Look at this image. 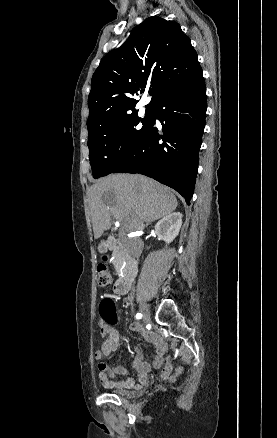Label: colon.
<instances>
[{"mask_svg": "<svg viewBox=\"0 0 277 438\" xmlns=\"http://www.w3.org/2000/svg\"><path fill=\"white\" fill-rule=\"evenodd\" d=\"M103 260L107 261V257L103 256ZM96 282L99 287H106L113 283V273L104 263L97 266Z\"/></svg>", "mask_w": 277, "mask_h": 438, "instance_id": "colon-1", "label": "colon"}]
</instances>
